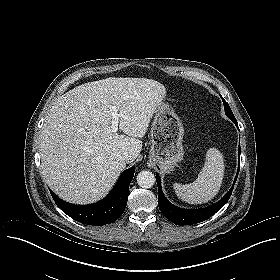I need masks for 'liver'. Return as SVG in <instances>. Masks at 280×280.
<instances>
[{"mask_svg":"<svg viewBox=\"0 0 280 280\" xmlns=\"http://www.w3.org/2000/svg\"><path fill=\"white\" fill-rule=\"evenodd\" d=\"M166 94L163 84L147 78H115L79 85L58 97L40 135L42 175L62 199L89 204L102 199L126 162L142 150L153 114ZM116 106L119 129L111 130L110 107Z\"/></svg>","mask_w":280,"mask_h":280,"instance_id":"1","label":"liver"}]
</instances>
